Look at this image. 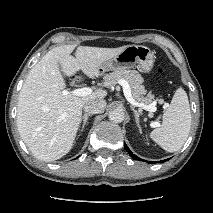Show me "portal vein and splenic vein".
I'll list each match as a JSON object with an SVG mask.
<instances>
[{
    "label": "portal vein and splenic vein",
    "instance_id": "obj_1",
    "mask_svg": "<svg viewBox=\"0 0 213 213\" xmlns=\"http://www.w3.org/2000/svg\"><path fill=\"white\" fill-rule=\"evenodd\" d=\"M118 83L122 86L126 99L133 106L139 107V108L144 109V110L149 111V112H155L156 111L155 103L145 105L143 103L136 101L133 98V96L131 94L130 86H129L127 81L121 79V80L118 81ZM91 93H92V89L89 88V87L77 88V89H74L72 91H68V90H62L61 91V94L63 96L69 95V96H77V97H84V96L90 95ZM150 115H152V113H150Z\"/></svg>",
    "mask_w": 213,
    "mask_h": 213
}]
</instances>
